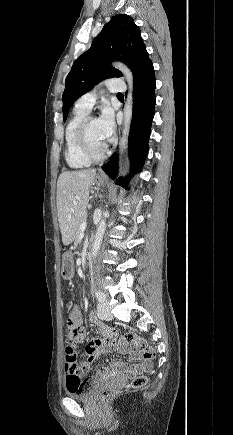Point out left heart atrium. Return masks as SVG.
<instances>
[{
    "mask_svg": "<svg viewBox=\"0 0 233 435\" xmlns=\"http://www.w3.org/2000/svg\"><path fill=\"white\" fill-rule=\"evenodd\" d=\"M98 122L103 134V137L108 141L114 132V117L113 112L109 107H104Z\"/></svg>",
    "mask_w": 233,
    "mask_h": 435,
    "instance_id": "left-heart-atrium-1",
    "label": "left heart atrium"
}]
</instances>
